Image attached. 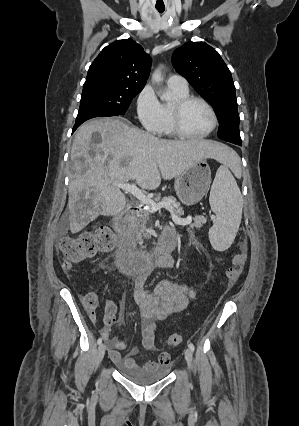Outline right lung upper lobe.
Segmentation results:
<instances>
[{
    "label": "right lung upper lobe",
    "instance_id": "right-lung-upper-lobe-1",
    "mask_svg": "<svg viewBox=\"0 0 299 426\" xmlns=\"http://www.w3.org/2000/svg\"><path fill=\"white\" fill-rule=\"evenodd\" d=\"M151 58L132 39L117 40L106 46L90 65L88 84H108L127 89H143L148 79Z\"/></svg>",
    "mask_w": 299,
    "mask_h": 426
}]
</instances>
